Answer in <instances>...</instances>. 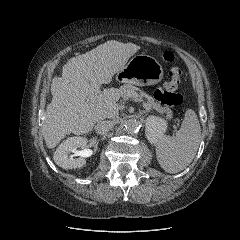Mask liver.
Instances as JSON below:
<instances>
[{
	"instance_id": "6515ba94",
	"label": "liver",
	"mask_w": 240,
	"mask_h": 240,
	"mask_svg": "<svg viewBox=\"0 0 240 240\" xmlns=\"http://www.w3.org/2000/svg\"><path fill=\"white\" fill-rule=\"evenodd\" d=\"M139 49L133 43L110 40L63 66L62 76L52 80V101L42 126L48 148L56 147L67 134L89 133L97 122L118 117L117 89H105L95 97H90V90L93 85L110 83Z\"/></svg>"
}]
</instances>
